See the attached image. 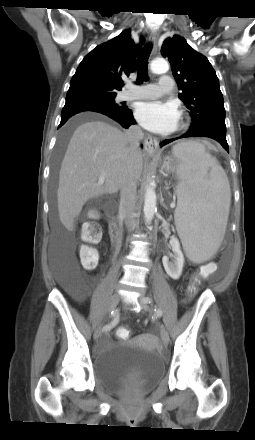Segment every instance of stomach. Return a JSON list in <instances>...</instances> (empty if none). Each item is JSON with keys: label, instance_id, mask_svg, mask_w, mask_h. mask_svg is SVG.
Listing matches in <instances>:
<instances>
[{"label": "stomach", "instance_id": "obj_1", "mask_svg": "<svg viewBox=\"0 0 255 440\" xmlns=\"http://www.w3.org/2000/svg\"><path fill=\"white\" fill-rule=\"evenodd\" d=\"M163 167L167 172L173 173L178 170L179 167L178 160L173 157H167L163 161Z\"/></svg>", "mask_w": 255, "mask_h": 440}]
</instances>
